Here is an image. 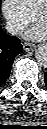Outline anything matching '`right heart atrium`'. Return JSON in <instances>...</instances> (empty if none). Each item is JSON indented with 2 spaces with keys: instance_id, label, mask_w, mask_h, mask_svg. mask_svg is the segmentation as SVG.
<instances>
[{
  "instance_id": "right-heart-atrium-1",
  "label": "right heart atrium",
  "mask_w": 47,
  "mask_h": 129,
  "mask_svg": "<svg viewBox=\"0 0 47 129\" xmlns=\"http://www.w3.org/2000/svg\"><path fill=\"white\" fill-rule=\"evenodd\" d=\"M2 13L10 32L17 34L29 25L34 15L28 11L21 0H3Z\"/></svg>"
}]
</instances>
